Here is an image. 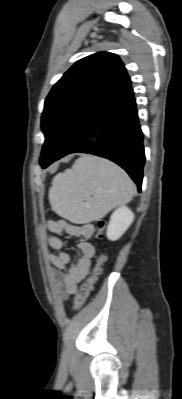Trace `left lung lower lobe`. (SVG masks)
Returning a JSON list of instances; mask_svg holds the SVG:
<instances>
[{"mask_svg":"<svg viewBox=\"0 0 182 399\" xmlns=\"http://www.w3.org/2000/svg\"><path fill=\"white\" fill-rule=\"evenodd\" d=\"M133 94L130 83L106 101L88 118L61 154L43 168L70 153L94 154L120 165L141 191L145 155Z\"/></svg>","mask_w":182,"mask_h":399,"instance_id":"obj_1","label":"left lung lower lobe"}]
</instances>
